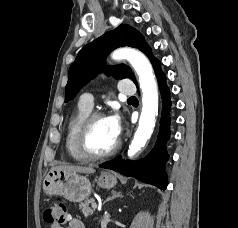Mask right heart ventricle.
<instances>
[{
  "label": "right heart ventricle",
  "mask_w": 238,
  "mask_h": 228,
  "mask_svg": "<svg viewBox=\"0 0 238 228\" xmlns=\"http://www.w3.org/2000/svg\"><path fill=\"white\" fill-rule=\"evenodd\" d=\"M91 111L92 108H89L80 101L67 122L65 147L70 157L76 162L84 163L88 161L78 149L77 138L82 122Z\"/></svg>",
  "instance_id": "e07e8e85"
}]
</instances>
